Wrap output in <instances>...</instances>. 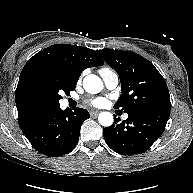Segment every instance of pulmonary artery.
I'll list each match as a JSON object with an SVG mask.
<instances>
[{
  "label": "pulmonary artery",
  "instance_id": "e3ab8cb5",
  "mask_svg": "<svg viewBox=\"0 0 193 193\" xmlns=\"http://www.w3.org/2000/svg\"><path fill=\"white\" fill-rule=\"evenodd\" d=\"M100 75H101L102 80H103L107 89L113 90L117 87V85L119 83V77H118L116 72H114L110 69L109 70H102V71H100ZM123 118L127 119L128 115L125 114L123 116Z\"/></svg>",
  "mask_w": 193,
  "mask_h": 193
}]
</instances>
